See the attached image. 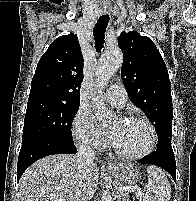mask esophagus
Masks as SVG:
<instances>
[{"mask_svg": "<svg viewBox=\"0 0 196 201\" xmlns=\"http://www.w3.org/2000/svg\"><path fill=\"white\" fill-rule=\"evenodd\" d=\"M103 11L105 12V13H107V12H109V9H103ZM110 164V163H109Z\"/></svg>", "mask_w": 196, "mask_h": 201, "instance_id": "34e87169", "label": "esophagus"}]
</instances>
